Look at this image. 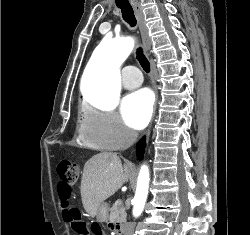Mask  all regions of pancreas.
<instances>
[{
  "label": "pancreas",
  "mask_w": 250,
  "mask_h": 235,
  "mask_svg": "<svg viewBox=\"0 0 250 235\" xmlns=\"http://www.w3.org/2000/svg\"><path fill=\"white\" fill-rule=\"evenodd\" d=\"M126 220V212L122 205V202L119 200L118 203H115L110 209V222L122 223Z\"/></svg>",
  "instance_id": "pancreas-1"
}]
</instances>
